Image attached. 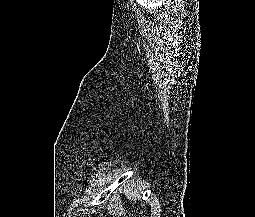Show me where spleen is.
Listing matches in <instances>:
<instances>
[{"label":"spleen","instance_id":"obj_1","mask_svg":"<svg viewBox=\"0 0 255 217\" xmlns=\"http://www.w3.org/2000/svg\"><path fill=\"white\" fill-rule=\"evenodd\" d=\"M124 194L126 195V197L129 200H133L136 201L137 199L140 198V193L138 192V190L136 188H134V185H127L124 190H123Z\"/></svg>","mask_w":255,"mask_h":217}]
</instances>
